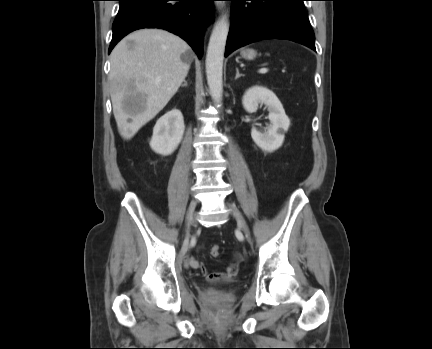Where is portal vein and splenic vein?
<instances>
[{"label": "portal vein and splenic vein", "instance_id": "1", "mask_svg": "<svg viewBox=\"0 0 432 349\" xmlns=\"http://www.w3.org/2000/svg\"><path fill=\"white\" fill-rule=\"evenodd\" d=\"M260 73H267L268 72V68H261L259 70Z\"/></svg>", "mask_w": 432, "mask_h": 349}]
</instances>
